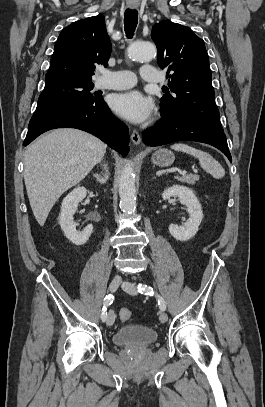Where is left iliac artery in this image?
Returning <instances> with one entry per match:
<instances>
[{
	"label": "left iliac artery",
	"instance_id": "1",
	"mask_svg": "<svg viewBox=\"0 0 265 407\" xmlns=\"http://www.w3.org/2000/svg\"><path fill=\"white\" fill-rule=\"evenodd\" d=\"M138 292H140L141 294H145V295H149V296H153L154 295V291L153 288H151L150 286L144 285V284H138ZM157 299H158V305L161 311H165L166 310V303L164 301V299L159 296L156 295Z\"/></svg>",
	"mask_w": 265,
	"mask_h": 407
}]
</instances>
